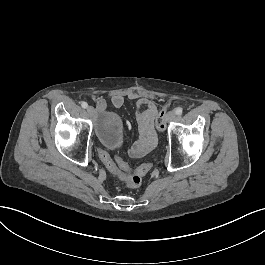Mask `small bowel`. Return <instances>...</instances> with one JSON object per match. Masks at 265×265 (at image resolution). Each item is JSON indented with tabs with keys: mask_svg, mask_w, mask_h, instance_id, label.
Here are the masks:
<instances>
[{
	"mask_svg": "<svg viewBox=\"0 0 265 265\" xmlns=\"http://www.w3.org/2000/svg\"><path fill=\"white\" fill-rule=\"evenodd\" d=\"M125 98L130 101H136L138 107L136 118L142 134V139L130 150V155L136 158L142 157L155 145L154 117L157 108L148 96H140L134 92L128 93L126 97L119 92H113L111 94V103L114 107L119 108L123 106ZM97 104H100V100H97ZM98 110H101V105H98ZM103 163L113 174L116 171L119 172L118 167L122 169L120 163L117 160L114 161L109 155Z\"/></svg>",
	"mask_w": 265,
	"mask_h": 265,
	"instance_id": "1",
	"label": "small bowel"
}]
</instances>
